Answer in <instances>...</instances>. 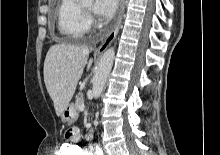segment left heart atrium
Instances as JSON below:
<instances>
[{"label":"left heart atrium","instance_id":"left-heart-atrium-1","mask_svg":"<svg viewBox=\"0 0 220 155\" xmlns=\"http://www.w3.org/2000/svg\"><path fill=\"white\" fill-rule=\"evenodd\" d=\"M119 0H96L94 11L101 18L111 17L117 10Z\"/></svg>","mask_w":220,"mask_h":155}]
</instances>
